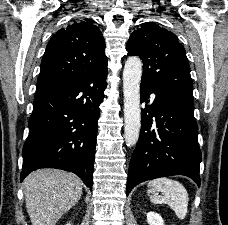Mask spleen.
Returning a JSON list of instances; mask_svg holds the SVG:
<instances>
[{"instance_id":"spleen-1","label":"spleen","mask_w":228,"mask_h":225,"mask_svg":"<svg viewBox=\"0 0 228 225\" xmlns=\"http://www.w3.org/2000/svg\"><path fill=\"white\" fill-rule=\"evenodd\" d=\"M149 199L154 205H169L178 219H185L188 213V193L178 181L172 179H154L148 183ZM162 193V195H156Z\"/></svg>"}]
</instances>
